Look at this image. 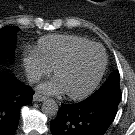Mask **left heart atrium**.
I'll return each mask as SVG.
<instances>
[{"label":"left heart atrium","mask_w":135,"mask_h":135,"mask_svg":"<svg viewBox=\"0 0 135 135\" xmlns=\"http://www.w3.org/2000/svg\"><path fill=\"white\" fill-rule=\"evenodd\" d=\"M37 90L44 95H61L66 92L63 84L56 76L40 84Z\"/></svg>","instance_id":"39dd6f15"}]
</instances>
